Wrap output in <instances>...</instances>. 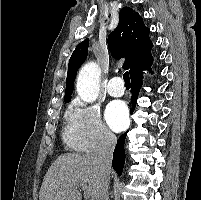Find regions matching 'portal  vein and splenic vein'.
Wrapping results in <instances>:
<instances>
[{
  "mask_svg": "<svg viewBox=\"0 0 201 200\" xmlns=\"http://www.w3.org/2000/svg\"><path fill=\"white\" fill-rule=\"evenodd\" d=\"M80 187L82 188V190L84 191V197L86 199H89L91 197V193L90 191L88 190L87 186L85 184H80Z\"/></svg>",
  "mask_w": 201,
  "mask_h": 200,
  "instance_id": "portal-vein-and-splenic-vein-1",
  "label": "portal vein and splenic vein"
}]
</instances>
